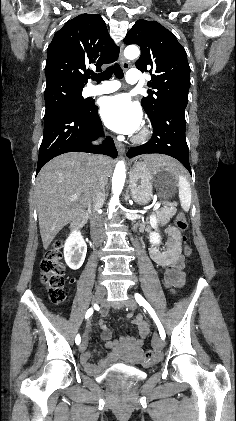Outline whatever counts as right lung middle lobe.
<instances>
[{
    "mask_svg": "<svg viewBox=\"0 0 236 421\" xmlns=\"http://www.w3.org/2000/svg\"><path fill=\"white\" fill-rule=\"evenodd\" d=\"M82 88L66 86H46L45 89V114L57 109H69L72 111L84 110L89 103L83 99Z\"/></svg>",
    "mask_w": 236,
    "mask_h": 421,
    "instance_id": "dd1d6c3e",
    "label": "right lung middle lobe"
}]
</instances>
